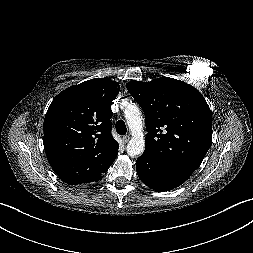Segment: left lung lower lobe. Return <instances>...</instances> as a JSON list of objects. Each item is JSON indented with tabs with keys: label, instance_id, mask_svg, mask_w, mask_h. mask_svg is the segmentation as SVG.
Wrapping results in <instances>:
<instances>
[{
	"label": "left lung lower lobe",
	"instance_id": "obj_1",
	"mask_svg": "<svg viewBox=\"0 0 253 253\" xmlns=\"http://www.w3.org/2000/svg\"><path fill=\"white\" fill-rule=\"evenodd\" d=\"M140 180L153 190L168 191L183 184L194 172L193 167H168L143 153L136 161Z\"/></svg>",
	"mask_w": 253,
	"mask_h": 253
}]
</instances>
